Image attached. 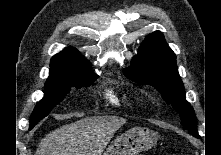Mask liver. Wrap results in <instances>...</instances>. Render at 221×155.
Returning <instances> with one entry per match:
<instances>
[{
  "instance_id": "obj_1",
  "label": "liver",
  "mask_w": 221,
  "mask_h": 155,
  "mask_svg": "<svg viewBox=\"0 0 221 155\" xmlns=\"http://www.w3.org/2000/svg\"><path fill=\"white\" fill-rule=\"evenodd\" d=\"M126 123L118 116H93L61 126L41 139L36 155H102Z\"/></svg>"
}]
</instances>
